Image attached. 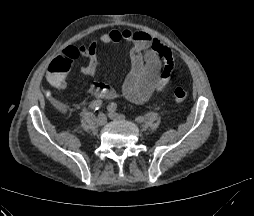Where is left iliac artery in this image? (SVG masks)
I'll return each instance as SVG.
<instances>
[{
  "instance_id": "obj_1",
  "label": "left iliac artery",
  "mask_w": 254,
  "mask_h": 216,
  "mask_svg": "<svg viewBox=\"0 0 254 216\" xmlns=\"http://www.w3.org/2000/svg\"><path fill=\"white\" fill-rule=\"evenodd\" d=\"M117 104L116 103H114V102H112V103H110L109 105H108V107H107V109H108V111H116L117 110Z\"/></svg>"
}]
</instances>
